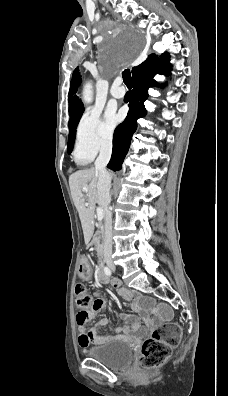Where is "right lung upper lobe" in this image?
<instances>
[{
    "label": "right lung upper lobe",
    "mask_w": 228,
    "mask_h": 396,
    "mask_svg": "<svg viewBox=\"0 0 228 396\" xmlns=\"http://www.w3.org/2000/svg\"><path fill=\"white\" fill-rule=\"evenodd\" d=\"M137 67V66H136ZM136 67L132 68V72L135 70ZM81 84V77L79 74V67H77L72 75L71 83H70V90H69V115L77 112V111H84L83 104L79 97L75 95L77 92L78 86Z\"/></svg>",
    "instance_id": "cb5924a9"
}]
</instances>
